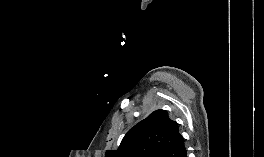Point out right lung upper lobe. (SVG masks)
Masks as SVG:
<instances>
[{"instance_id":"1","label":"right lung upper lobe","mask_w":264,"mask_h":157,"mask_svg":"<svg viewBox=\"0 0 264 157\" xmlns=\"http://www.w3.org/2000/svg\"><path fill=\"white\" fill-rule=\"evenodd\" d=\"M186 151L177 122L156 110L131 128L119 148L106 157H181Z\"/></svg>"}]
</instances>
